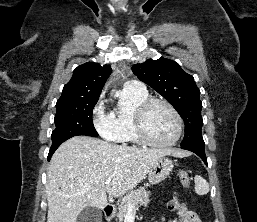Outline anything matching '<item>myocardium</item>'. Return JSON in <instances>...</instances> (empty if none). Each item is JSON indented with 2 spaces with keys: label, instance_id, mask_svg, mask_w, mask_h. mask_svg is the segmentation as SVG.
Listing matches in <instances>:
<instances>
[{
  "label": "myocardium",
  "instance_id": "obj_1",
  "mask_svg": "<svg viewBox=\"0 0 257 222\" xmlns=\"http://www.w3.org/2000/svg\"><path fill=\"white\" fill-rule=\"evenodd\" d=\"M157 104L166 106L171 111V113L173 114L176 120V124H177L176 134L170 141H167V142L154 141L153 139L150 138L146 130L147 115L151 110V108ZM134 122H135L136 134L140 142L147 146L155 147V148H166V147H171L175 145L180 140L184 129L183 119L179 111L175 108V106L172 103L162 98H148L144 102H142L136 110Z\"/></svg>",
  "mask_w": 257,
  "mask_h": 222
}]
</instances>
